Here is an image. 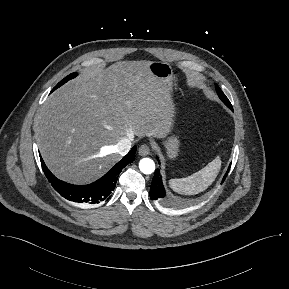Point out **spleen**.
<instances>
[{"instance_id":"1","label":"spleen","mask_w":289,"mask_h":289,"mask_svg":"<svg viewBox=\"0 0 289 289\" xmlns=\"http://www.w3.org/2000/svg\"><path fill=\"white\" fill-rule=\"evenodd\" d=\"M221 168L220 157H216L206 167L185 178H175L169 181L170 187L185 195L197 194L204 191L213 183Z\"/></svg>"}]
</instances>
